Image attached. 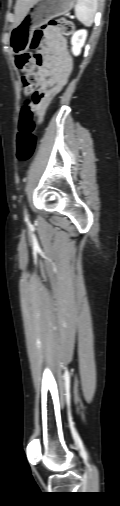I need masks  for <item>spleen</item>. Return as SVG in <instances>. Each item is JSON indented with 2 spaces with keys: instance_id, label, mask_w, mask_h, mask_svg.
Returning <instances> with one entry per match:
<instances>
[{
  "instance_id": "obj_1",
  "label": "spleen",
  "mask_w": 120,
  "mask_h": 506,
  "mask_svg": "<svg viewBox=\"0 0 120 506\" xmlns=\"http://www.w3.org/2000/svg\"><path fill=\"white\" fill-rule=\"evenodd\" d=\"M97 11V0H77L75 13L77 19L85 26H90Z\"/></svg>"
}]
</instances>
